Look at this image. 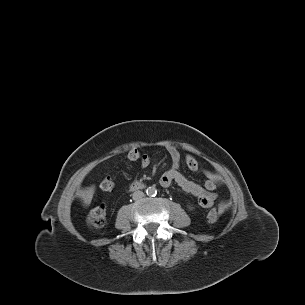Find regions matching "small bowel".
<instances>
[{"label": "small bowel", "instance_id": "c3829d8e", "mask_svg": "<svg viewBox=\"0 0 305 305\" xmlns=\"http://www.w3.org/2000/svg\"><path fill=\"white\" fill-rule=\"evenodd\" d=\"M166 150L171 158L172 166L160 177V185L167 188L171 184L176 183L185 192L196 197L201 207H211L217 198L215 190L217 187L222 185L220 176L212 170L203 169L202 171L207 177L204 185L193 182L185 177L180 171L181 154L178 148L174 145H168ZM185 163L188 169L191 171L195 172L200 168L198 161L191 154L185 155ZM149 164L150 158L147 155H143L140 160V165L143 168H146L149 166Z\"/></svg>", "mask_w": 305, "mask_h": 305}]
</instances>
